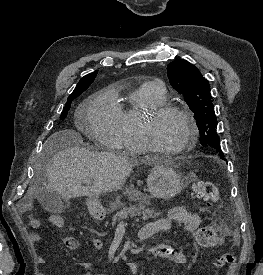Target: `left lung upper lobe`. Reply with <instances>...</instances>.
<instances>
[{
  "instance_id": "left-lung-upper-lobe-1",
  "label": "left lung upper lobe",
  "mask_w": 263,
  "mask_h": 275,
  "mask_svg": "<svg viewBox=\"0 0 263 275\" xmlns=\"http://www.w3.org/2000/svg\"><path fill=\"white\" fill-rule=\"evenodd\" d=\"M167 74L172 87L183 94L185 102L194 112L200 143L213 152L223 153L216 132L217 120L208 81L197 67L184 59L168 64Z\"/></svg>"
}]
</instances>
